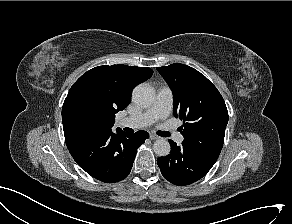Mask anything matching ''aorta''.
<instances>
[{
	"mask_svg": "<svg viewBox=\"0 0 292 224\" xmlns=\"http://www.w3.org/2000/svg\"><path fill=\"white\" fill-rule=\"evenodd\" d=\"M133 102L141 107H149L154 101L153 89L145 84H140L133 90L132 93ZM170 144L166 139H158L153 144V150L158 156H167L170 153Z\"/></svg>",
	"mask_w": 292,
	"mask_h": 224,
	"instance_id": "aorta-1",
	"label": "aorta"
}]
</instances>
